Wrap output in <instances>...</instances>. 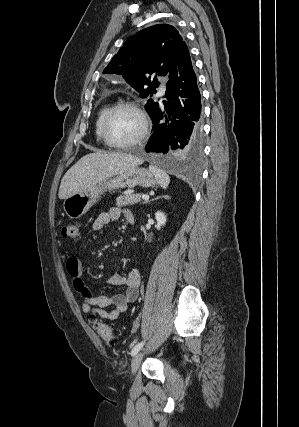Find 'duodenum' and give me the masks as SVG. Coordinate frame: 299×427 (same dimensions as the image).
<instances>
[{"mask_svg": "<svg viewBox=\"0 0 299 427\" xmlns=\"http://www.w3.org/2000/svg\"><path fill=\"white\" fill-rule=\"evenodd\" d=\"M128 222H129L130 224H133V223H134V217H130V218L128 219Z\"/></svg>", "mask_w": 299, "mask_h": 427, "instance_id": "410a0bca", "label": "duodenum"}]
</instances>
